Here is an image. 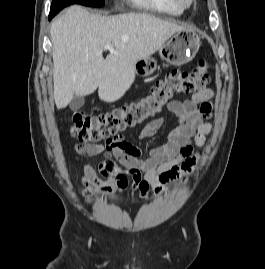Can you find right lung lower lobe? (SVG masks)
<instances>
[{
	"label": "right lung lower lobe",
	"mask_w": 265,
	"mask_h": 269,
	"mask_svg": "<svg viewBox=\"0 0 265 269\" xmlns=\"http://www.w3.org/2000/svg\"><path fill=\"white\" fill-rule=\"evenodd\" d=\"M60 10L61 9H57V10L50 9L49 20H51Z\"/></svg>",
	"instance_id": "obj_1"
}]
</instances>
